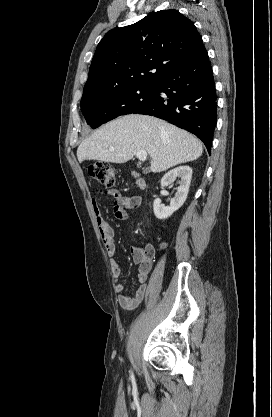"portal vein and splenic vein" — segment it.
Returning <instances> with one entry per match:
<instances>
[{
	"label": "portal vein and splenic vein",
	"mask_w": 272,
	"mask_h": 417,
	"mask_svg": "<svg viewBox=\"0 0 272 417\" xmlns=\"http://www.w3.org/2000/svg\"><path fill=\"white\" fill-rule=\"evenodd\" d=\"M111 150H114V149H111ZM136 156L140 161L144 162L147 158V152L145 150H140L136 153Z\"/></svg>",
	"instance_id": "18ae733b"
}]
</instances>
